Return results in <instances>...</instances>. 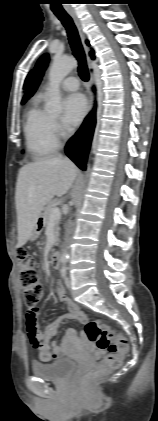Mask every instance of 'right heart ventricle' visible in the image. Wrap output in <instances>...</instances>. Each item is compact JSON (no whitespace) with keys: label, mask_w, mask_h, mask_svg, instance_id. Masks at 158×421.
I'll list each match as a JSON object with an SVG mask.
<instances>
[{"label":"right heart ventricle","mask_w":158,"mask_h":421,"mask_svg":"<svg viewBox=\"0 0 158 421\" xmlns=\"http://www.w3.org/2000/svg\"><path fill=\"white\" fill-rule=\"evenodd\" d=\"M42 96L32 102L25 118L24 134L28 152L35 159H42L54 153L58 140L52 117L41 106Z\"/></svg>","instance_id":"1"}]
</instances>
